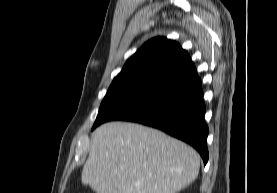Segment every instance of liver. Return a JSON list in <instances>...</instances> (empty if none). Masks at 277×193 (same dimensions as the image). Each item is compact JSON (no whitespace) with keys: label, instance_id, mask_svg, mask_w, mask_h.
I'll return each instance as SVG.
<instances>
[{"label":"liver","instance_id":"liver-1","mask_svg":"<svg viewBox=\"0 0 277 193\" xmlns=\"http://www.w3.org/2000/svg\"><path fill=\"white\" fill-rule=\"evenodd\" d=\"M187 144L135 123L109 122L92 134L81 180L96 193H176L199 173Z\"/></svg>","mask_w":277,"mask_h":193}]
</instances>
